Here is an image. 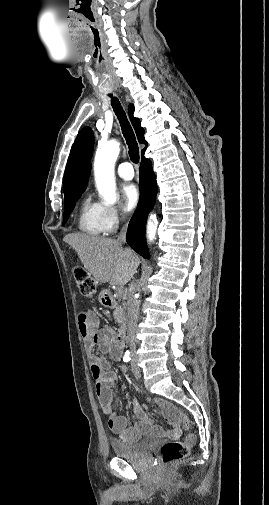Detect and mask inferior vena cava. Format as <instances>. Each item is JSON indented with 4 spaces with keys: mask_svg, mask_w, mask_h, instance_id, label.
<instances>
[{
    "mask_svg": "<svg viewBox=\"0 0 269 505\" xmlns=\"http://www.w3.org/2000/svg\"><path fill=\"white\" fill-rule=\"evenodd\" d=\"M126 231L127 224H125L119 235L117 241L120 244L125 243L126 241ZM136 287L133 283L129 284V290L127 294V344L131 351H135L136 349V337L135 331L137 327L138 317H139V304L138 300L135 297Z\"/></svg>",
    "mask_w": 269,
    "mask_h": 505,
    "instance_id": "obj_1",
    "label": "inferior vena cava"
}]
</instances>
